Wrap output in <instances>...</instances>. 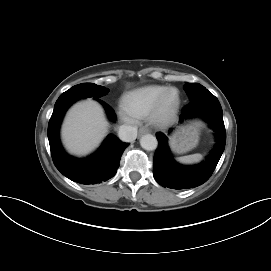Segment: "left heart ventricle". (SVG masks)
Segmentation results:
<instances>
[{
  "mask_svg": "<svg viewBox=\"0 0 271 271\" xmlns=\"http://www.w3.org/2000/svg\"><path fill=\"white\" fill-rule=\"evenodd\" d=\"M175 101V93H171L167 99V105H171Z\"/></svg>",
  "mask_w": 271,
  "mask_h": 271,
  "instance_id": "left-heart-ventricle-1",
  "label": "left heart ventricle"
}]
</instances>
